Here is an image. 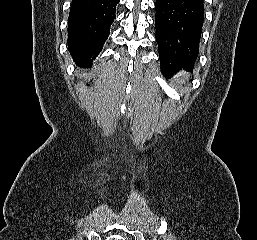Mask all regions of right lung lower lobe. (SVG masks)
<instances>
[{"label": "right lung lower lobe", "mask_w": 257, "mask_h": 240, "mask_svg": "<svg viewBox=\"0 0 257 240\" xmlns=\"http://www.w3.org/2000/svg\"><path fill=\"white\" fill-rule=\"evenodd\" d=\"M119 0H72L68 17V49L80 66H91L102 50Z\"/></svg>", "instance_id": "obj_1"}]
</instances>
